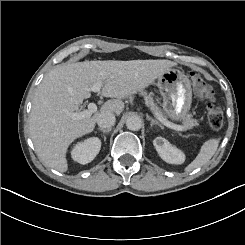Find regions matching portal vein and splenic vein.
Instances as JSON below:
<instances>
[{
    "instance_id": "portal-vein-and-splenic-vein-1",
    "label": "portal vein and splenic vein",
    "mask_w": 245,
    "mask_h": 245,
    "mask_svg": "<svg viewBox=\"0 0 245 245\" xmlns=\"http://www.w3.org/2000/svg\"><path fill=\"white\" fill-rule=\"evenodd\" d=\"M102 86V82L101 81H98L92 88L93 91H99L100 88ZM99 110V107L94 104V103H90L88 105V109H85L84 111L82 112H79V113H74L72 115V119H84V118H88V117H91L92 115H94L97 111ZM153 116L158 119L161 123H163L165 126H168L170 128H173L175 130H182L183 127L180 126V125H176L172 122H169L167 119L163 118L159 113L151 110Z\"/></svg>"
}]
</instances>
